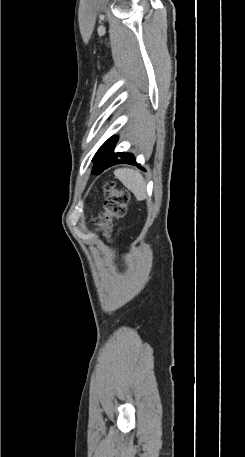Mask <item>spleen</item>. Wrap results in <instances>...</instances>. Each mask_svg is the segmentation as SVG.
Returning a JSON list of instances; mask_svg holds the SVG:
<instances>
[{"mask_svg": "<svg viewBox=\"0 0 245 457\" xmlns=\"http://www.w3.org/2000/svg\"><path fill=\"white\" fill-rule=\"evenodd\" d=\"M114 174L116 178H119L135 194L137 200H144L146 198V182L139 170H134V168H116Z\"/></svg>", "mask_w": 245, "mask_h": 457, "instance_id": "obj_1", "label": "spleen"}]
</instances>
